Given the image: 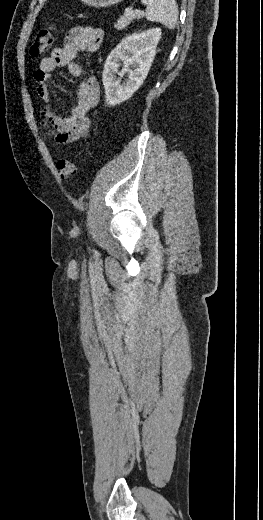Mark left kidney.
<instances>
[{"label":"left kidney","mask_w":263,"mask_h":520,"mask_svg":"<svg viewBox=\"0 0 263 520\" xmlns=\"http://www.w3.org/2000/svg\"><path fill=\"white\" fill-rule=\"evenodd\" d=\"M161 30L153 28L125 37L110 53L104 65L102 81L108 106H116L130 98L143 84L156 54ZM124 67L119 72V62ZM116 74L128 79L121 83Z\"/></svg>","instance_id":"5707ae66"}]
</instances>
